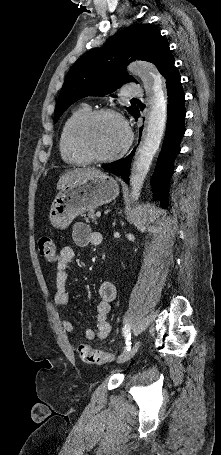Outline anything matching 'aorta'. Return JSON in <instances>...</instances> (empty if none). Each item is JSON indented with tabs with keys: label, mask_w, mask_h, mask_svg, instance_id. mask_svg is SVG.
I'll return each instance as SVG.
<instances>
[{
	"label": "aorta",
	"mask_w": 221,
	"mask_h": 455,
	"mask_svg": "<svg viewBox=\"0 0 221 455\" xmlns=\"http://www.w3.org/2000/svg\"><path fill=\"white\" fill-rule=\"evenodd\" d=\"M129 72L138 76L148 95L149 111L145 120L141 142L137 148L130 173L131 199L138 200L152 160L161 144L166 120L167 101L162 78L157 68L148 62L129 66Z\"/></svg>",
	"instance_id": "aorta-1"
}]
</instances>
